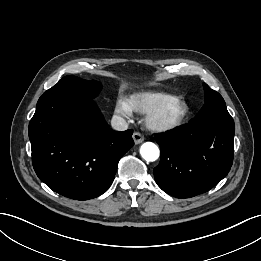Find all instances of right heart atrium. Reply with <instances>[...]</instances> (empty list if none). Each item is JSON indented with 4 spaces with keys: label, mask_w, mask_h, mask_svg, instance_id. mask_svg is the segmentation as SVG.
Returning a JSON list of instances; mask_svg holds the SVG:
<instances>
[{
    "label": "right heart atrium",
    "mask_w": 261,
    "mask_h": 261,
    "mask_svg": "<svg viewBox=\"0 0 261 261\" xmlns=\"http://www.w3.org/2000/svg\"><path fill=\"white\" fill-rule=\"evenodd\" d=\"M115 112L121 117L129 118L132 115V108L125 98L119 97L116 101Z\"/></svg>",
    "instance_id": "obj_1"
}]
</instances>
